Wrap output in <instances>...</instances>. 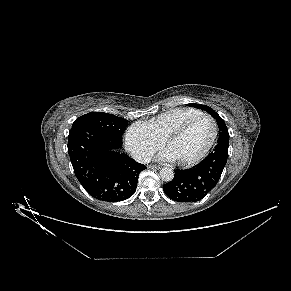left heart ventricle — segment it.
I'll return each instance as SVG.
<instances>
[{
    "label": "left heart ventricle",
    "instance_id": "obj_1",
    "mask_svg": "<svg viewBox=\"0 0 291 291\" xmlns=\"http://www.w3.org/2000/svg\"><path fill=\"white\" fill-rule=\"evenodd\" d=\"M212 133V123L205 118L199 119L184 134L172 141L166 149L174 160H190L205 149L212 137Z\"/></svg>",
    "mask_w": 291,
    "mask_h": 291
}]
</instances>
